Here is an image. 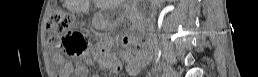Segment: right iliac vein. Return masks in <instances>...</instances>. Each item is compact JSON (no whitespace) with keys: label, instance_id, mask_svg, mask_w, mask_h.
Here are the masks:
<instances>
[{"label":"right iliac vein","instance_id":"obj_1","mask_svg":"<svg viewBox=\"0 0 258 77\" xmlns=\"http://www.w3.org/2000/svg\"><path fill=\"white\" fill-rule=\"evenodd\" d=\"M164 71H165L167 77H174L173 76L174 72H173L172 68L169 65H167L165 67Z\"/></svg>","mask_w":258,"mask_h":77}]
</instances>
